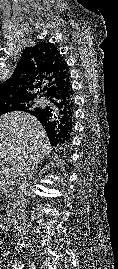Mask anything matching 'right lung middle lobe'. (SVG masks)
I'll list each match as a JSON object with an SVG mask.
<instances>
[{"mask_svg": "<svg viewBox=\"0 0 118 269\" xmlns=\"http://www.w3.org/2000/svg\"><path fill=\"white\" fill-rule=\"evenodd\" d=\"M30 105L31 103L29 101H23L12 104H2L0 105V116L11 111H17V110L25 111V109Z\"/></svg>", "mask_w": 118, "mask_h": 269, "instance_id": "right-lung-middle-lobe-1", "label": "right lung middle lobe"}]
</instances>
